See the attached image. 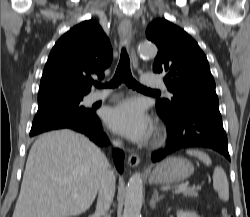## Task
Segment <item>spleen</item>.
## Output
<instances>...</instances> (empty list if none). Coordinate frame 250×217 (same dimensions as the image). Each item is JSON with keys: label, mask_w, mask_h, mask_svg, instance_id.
<instances>
[{"label": "spleen", "mask_w": 250, "mask_h": 217, "mask_svg": "<svg viewBox=\"0 0 250 217\" xmlns=\"http://www.w3.org/2000/svg\"><path fill=\"white\" fill-rule=\"evenodd\" d=\"M187 154L198 158L207 166L212 164L210 157L200 150L190 149L187 150ZM213 188L218 192V196L221 200L225 202L229 200V184L227 176L224 169L220 166L216 167L213 172Z\"/></svg>", "instance_id": "obj_1"}]
</instances>
